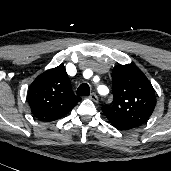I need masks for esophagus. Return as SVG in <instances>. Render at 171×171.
Returning <instances> with one entry per match:
<instances>
[{
	"instance_id": "esophagus-1",
	"label": "esophagus",
	"mask_w": 171,
	"mask_h": 171,
	"mask_svg": "<svg viewBox=\"0 0 171 171\" xmlns=\"http://www.w3.org/2000/svg\"><path fill=\"white\" fill-rule=\"evenodd\" d=\"M89 98L92 99L95 103L98 102V96L95 93H91Z\"/></svg>"
}]
</instances>
